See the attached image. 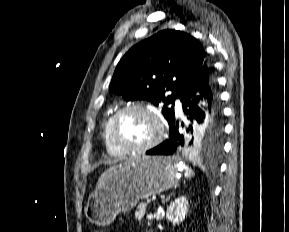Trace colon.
Wrapping results in <instances>:
<instances>
[{
  "instance_id": "colon-1",
  "label": "colon",
  "mask_w": 289,
  "mask_h": 232,
  "mask_svg": "<svg viewBox=\"0 0 289 232\" xmlns=\"http://www.w3.org/2000/svg\"><path fill=\"white\" fill-rule=\"evenodd\" d=\"M94 232H103L102 230H95Z\"/></svg>"
}]
</instances>
